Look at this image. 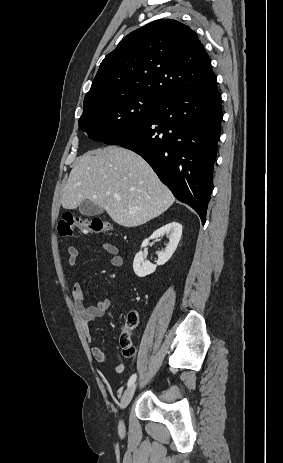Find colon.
I'll list each match as a JSON object with an SVG mask.
<instances>
[{
    "instance_id": "1",
    "label": "colon",
    "mask_w": 283,
    "mask_h": 463,
    "mask_svg": "<svg viewBox=\"0 0 283 463\" xmlns=\"http://www.w3.org/2000/svg\"><path fill=\"white\" fill-rule=\"evenodd\" d=\"M112 225L100 217H74L73 215H63L58 222V231L61 236H71L75 230L81 233H110ZM138 315L136 312H130L122 326L121 347L122 354L126 358L133 357L135 347L131 341V334L137 327Z\"/></svg>"
}]
</instances>
